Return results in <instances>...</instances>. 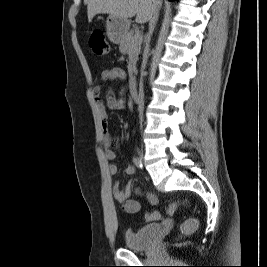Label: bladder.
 Here are the masks:
<instances>
[{
  "label": "bladder",
  "instance_id": "bladder-1",
  "mask_svg": "<svg viewBox=\"0 0 267 267\" xmlns=\"http://www.w3.org/2000/svg\"><path fill=\"white\" fill-rule=\"evenodd\" d=\"M161 226L157 223L144 225L136 230H127L124 234L125 247L140 251L148 248L159 234Z\"/></svg>",
  "mask_w": 267,
  "mask_h": 267
}]
</instances>
